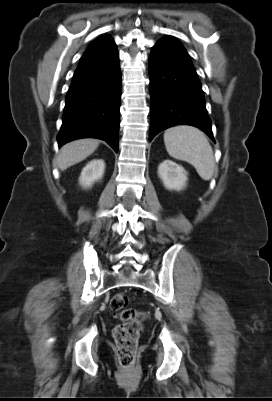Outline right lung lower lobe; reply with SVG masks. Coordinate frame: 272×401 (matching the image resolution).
I'll return each instance as SVG.
<instances>
[{
	"mask_svg": "<svg viewBox=\"0 0 272 401\" xmlns=\"http://www.w3.org/2000/svg\"><path fill=\"white\" fill-rule=\"evenodd\" d=\"M121 71L116 45L79 64L68 90L59 147L80 138H98L118 151Z\"/></svg>",
	"mask_w": 272,
	"mask_h": 401,
	"instance_id": "obj_1",
	"label": "right lung lower lobe"
}]
</instances>
